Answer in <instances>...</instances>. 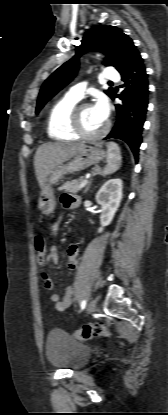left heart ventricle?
I'll return each instance as SVG.
<instances>
[{"mask_svg":"<svg viewBox=\"0 0 168 415\" xmlns=\"http://www.w3.org/2000/svg\"><path fill=\"white\" fill-rule=\"evenodd\" d=\"M80 119L83 128L89 133L99 131L105 124V121L98 119L91 105L80 111Z\"/></svg>","mask_w":168,"mask_h":415,"instance_id":"left-heart-ventricle-1","label":"left heart ventricle"}]
</instances>
